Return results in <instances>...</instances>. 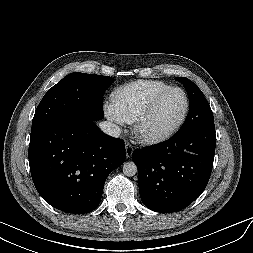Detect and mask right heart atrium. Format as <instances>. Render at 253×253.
<instances>
[{"instance_id": "1", "label": "right heart atrium", "mask_w": 253, "mask_h": 253, "mask_svg": "<svg viewBox=\"0 0 253 253\" xmlns=\"http://www.w3.org/2000/svg\"><path fill=\"white\" fill-rule=\"evenodd\" d=\"M105 114L111 121L122 124L124 121L122 120L121 116L119 115L118 111L114 107L113 103H107L105 105Z\"/></svg>"}]
</instances>
